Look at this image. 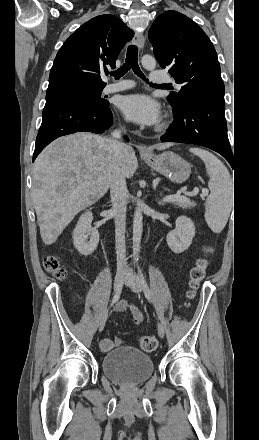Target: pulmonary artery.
I'll use <instances>...</instances> for the list:
<instances>
[{
	"instance_id": "1",
	"label": "pulmonary artery",
	"mask_w": 259,
	"mask_h": 440,
	"mask_svg": "<svg viewBox=\"0 0 259 440\" xmlns=\"http://www.w3.org/2000/svg\"><path fill=\"white\" fill-rule=\"evenodd\" d=\"M150 80L153 83L171 82V79L167 75L162 74L159 71H152L150 74ZM133 86L134 83L130 80H119L115 83L107 84L104 88V92L113 93V92L123 91L132 88Z\"/></svg>"
}]
</instances>
